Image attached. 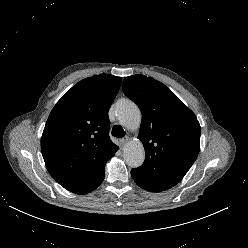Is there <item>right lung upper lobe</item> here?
<instances>
[{"mask_svg": "<svg viewBox=\"0 0 248 248\" xmlns=\"http://www.w3.org/2000/svg\"><path fill=\"white\" fill-rule=\"evenodd\" d=\"M121 78L100 74L74 85L51 111L41 138L50 175L65 189L87 194L105 177L118 146L109 137L108 111Z\"/></svg>", "mask_w": 248, "mask_h": 248, "instance_id": "obj_1", "label": "right lung upper lobe"}]
</instances>
